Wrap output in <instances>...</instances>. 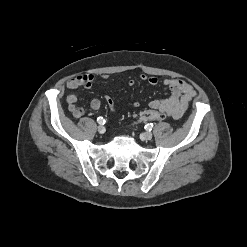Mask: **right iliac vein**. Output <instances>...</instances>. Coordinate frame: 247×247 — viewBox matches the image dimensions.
Returning a JSON list of instances; mask_svg holds the SVG:
<instances>
[{"mask_svg":"<svg viewBox=\"0 0 247 247\" xmlns=\"http://www.w3.org/2000/svg\"><path fill=\"white\" fill-rule=\"evenodd\" d=\"M97 130H98V132H99L100 134L105 133V128H104L103 126H101V125L98 126Z\"/></svg>","mask_w":247,"mask_h":247,"instance_id":"right-iliac-vein-1","label":"right iliac vein"}]
</instances>
